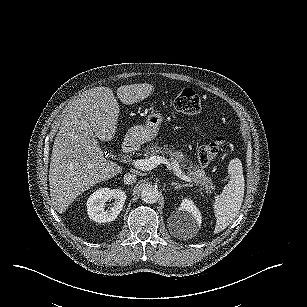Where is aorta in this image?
<instances>
[{"label": "aorta", "mask_w": 307, "mask_h": 307, "mask_svg": "<svg viewBox=\"0 0 307 307\" xmlns=\"http://www.w3.org/2000/svg\"><path fill=\"white\" fill-rule=\"evenodd\" d=\"M140 196L143 202L148 204H154L158 201L160 197V192L156 187L148 185L142 189Z\"/></svg>", "instance_id": "1"}]
</instances>
